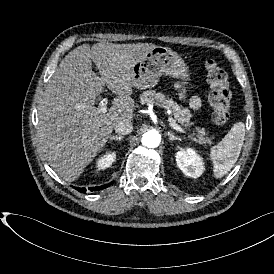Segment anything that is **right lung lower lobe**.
<instances>
[{
  "label": "right lung lower lobe",
  "mask_w": 274,
  "mask_h": 274,
  "mask_svg": "<svg viewBox=\"0 0 274 274\" xmlns=\"http://www.w3.org/2000/svg\"><path fill=\"white\" fill-rule=\"evenodd\" d=\"M111 184H113V182L108 183V184H105V185H102V186L90 187L89 190H90V191H97V190H100V189H103V188H107V187L110 186ZM75 189L78 190V191L81 192V193H85V192H86V188H79V187H76Z\"/></svg>",
  "instance_id": "obj_1"
}]
</instances>
